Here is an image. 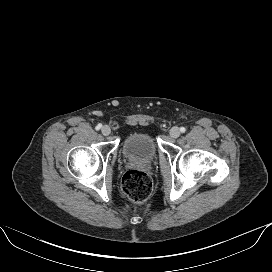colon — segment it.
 <instances>
[{"label": "colon", "mask_w": 272, "mask_h": 272, "mask_svg": "<svg viewBox=\"0 0 272 272\" xmlns=\"http://www.w3.org/2000/svg\"><path fill=\"white\" fill-rule=\"evenodd\" d=\"M122 191L128 199L141 203L148 199L152 192V181L143 171L128 170L122 178Z\"/></svg>", "instance_id": "5ec220e1"}]
</instances>
